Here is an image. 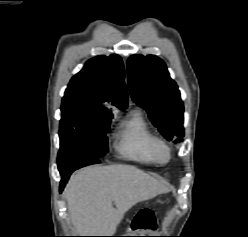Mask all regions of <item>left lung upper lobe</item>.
Returning a JSON list of instances; mask_svg holds the SVG:
<instances>
[{
	"instance_id": "obj_1",
	"label": "left lung upper lobe",
	"mask_w": 248,
	"mask_h": 237,
	"mask_svg": "<svg viewBox=\"0 0 248 237\" xmlns=\"http://www.w3.org/2000/svg\"><path fill=\"white\" fill-rule=\"evenodd\" d=\"M131 97L167 140H183V103L176 83L159 57L132 55L127 62Z\"/></svg>"
}]
</instances>
